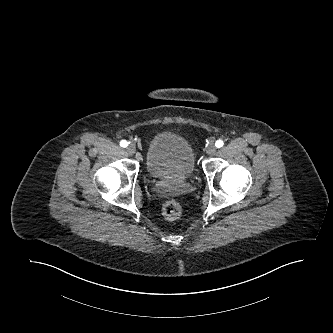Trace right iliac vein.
Instances as JSON below:
<instances>
[{
	"label": "right iliac vein",
	"instance_id": "1",
	"mask_svg": "<svg viewBox=\"0 0 333 333\" xmlns=\"http://www.w3.org/2000/svg\"><path fill=\"white\" fill-rule=\"evenodd\" d=\"M126 151L129 155H133L136 152V146L133 143H131L127 146Z\"/></svg>",
	"mask_w": 333,
	"mask_h": 333
}]
</instances>
